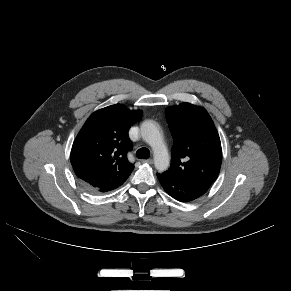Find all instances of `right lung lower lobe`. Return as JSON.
<instances>
[{"mask_svg": "<svg viewBox=\"0 0 291 291\" xmlns=\"http://www.w3.org/2000/svg\"><path fill=\"white\" fill-rule=\"evenodd\" d=\"M83 183V182H82ZM124 183V182H123ZM123 183H115L113 185H110V184H106L105 186H103L102 188H94V187H91L85 183H83V185L91 192H94V193H98V192H108V191H111L115 188H117L118 186H120L121 184Z\"/></svg>", "mask_w": 291, "mask_h": 291, "instance_id": "1", "label": "right lung lower lobe"}]
</instances>
